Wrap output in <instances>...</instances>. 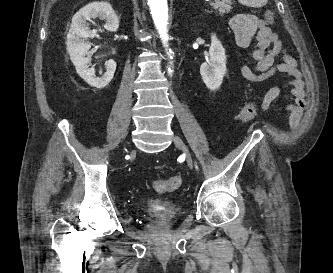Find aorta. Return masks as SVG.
Masks as SVG:
<instances>
[{"mask_svg":"<svg viewBox=\"0 0 333 273\" xmlns=\"http://www.w3.org/2000/svg\"><path fill=\"white\" fill-rule=\"evenodd\" d=\"M152 14V18L160 38L165 47L169 40L168 36V4L167 0H147ZM170 52V51H169Z\"/></svg>","mask_w":333,"mask_h":273,"instance_id":"aorta-1","label":"aorta"}]
</instances>
